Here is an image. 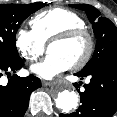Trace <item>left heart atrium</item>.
I'll list each match as a JSON object with an SVG mask.
<instances>
[{"instance_id":"39dd6f15","label":"left heart atrium","mask_w":117,"mask_h":117,"mask_svg":"<svg viewBox=\"0 0 117 117\" xmlns=\"http://www.w3.org/2000/svg\"><path fill=\"white\" fill-rule=\"evenodd\" d=\"M71 65L62 57L48 54L47 57L31 67V71L39 77L50 80L68 70Z\"/></svg>"}]
</instances>
